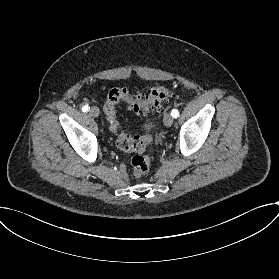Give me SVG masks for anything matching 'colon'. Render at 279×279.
Listing matches in <instances>:
<instances>
[{"instance_id":"1","label":"colon","mask_w":279,"mask_h":279,"mask_svg":"<svg viewBox=\"0 0 279 279\" xmlns=\"http://www.w3.org/2000/svg\"><path fill=\"white\" fill-rule=\"evenodd\" d=\"M169 96L170 89L162 85L154 86L138 94H133L128 89L122 87H114L108 91L103 112L111 123V130L117 134V145L121 151L142 153L152 142V136L146 134L140 137H131L125 133L116 121V105L119 102H124L135 113L150 114L153 111L159 110L160 106L169 99ZM131 163L134 174L142 176L148 172L151 159L149 156L137 155L132 158Z\"/></svg>"}]
</instances>
